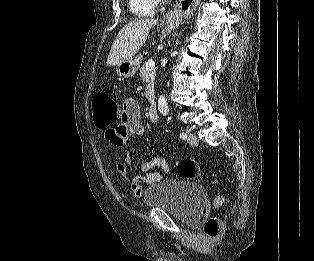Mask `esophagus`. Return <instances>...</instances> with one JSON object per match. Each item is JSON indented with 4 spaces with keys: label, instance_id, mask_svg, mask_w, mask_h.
<instances>
[{
    "label": "esophagus",
    "instance_id": "34e87169",
    "mask_svg": "<svg viewBox=\"0 0 314 261\" xmlns=\"http://www.w3.org/2000/svg\"><path fill=\"white\" fill-rule=\"evenodd\" d=\"M197 1H199V0H197ZM197 3H198V2H197ZM196 6H197V4H196V5H192L191 8H189V9L187 10V12H190V11L193 12V11H195ZM182 12H183V10H181V9L178 10V9H177L176 11L174 10V11L169 12V13L167 14V16L171 15V16L175 17V16H177L178 14L181 15Z\"/></svg>",
    "mask_w": 314,
    "mask_h": 261
}]
</instances>
